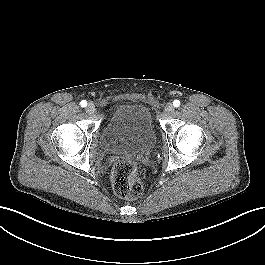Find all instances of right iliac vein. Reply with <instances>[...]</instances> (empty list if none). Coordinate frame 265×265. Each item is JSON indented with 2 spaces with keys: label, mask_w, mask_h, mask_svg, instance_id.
I'll list each match as a JSON object with an SVG mask.
<instances>
[{
  "label": "right iliac vein",
  "mask_w": 265,
  "mask_h": 265,
  "mask_svg": "<svg viewBox=\"0 0 265 265\" xmlns=\"http://www.w3.org/2000/svg\"><path fill=\"white\" fill-rule=\"evenodd\" d=\"M96 108L93 103H89L88 106L86 107V112L88 114H93L95 112Z\"/></svg>",
  "instance_id": "obj_1"
}]
</instances>
